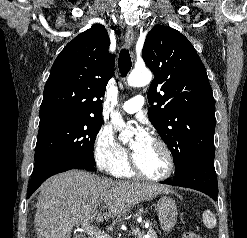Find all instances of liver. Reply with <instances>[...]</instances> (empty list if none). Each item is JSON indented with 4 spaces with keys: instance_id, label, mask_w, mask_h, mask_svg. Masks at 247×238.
<instances>
[{
    "instance_id": "1",
    "label": "liver",
    "mask_w": 247,
    "mask_h": 238,
    "mask_svg": "<svg viewBox=\"0 0 247 238\" xmlns=\"http://www.w3.org/2000/svg\"><path fill=\"white\" fill-rule=\"evenodd\" d=\"M170 192L164 185L113 181L85 171L55 175L40 187L37 238H71L73 227L85 220L119 218L136 204Z\"/></svg>"
}]
</instances>
